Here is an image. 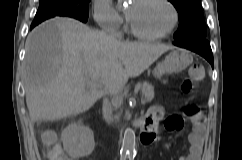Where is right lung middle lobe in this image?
Wrapping results in <instances>:
<instances>
[{
	"label": "right lung middle lobe",
	"instance_id": "dd1d6c3e",
	"mask_svg": "<svg viewBox=\"0 0 242 160\" xmlns=\"http://www.w3.org/2000/svg\"><path fill=\"white\" fill-rule=\"evenodd\" d=\"M91 0H40L39 8L31 26L55 16H67L87 22L88 5Z\"/></svg>",
	"mask_w": 242,
	"mask_h": 160
}]
</instances>
